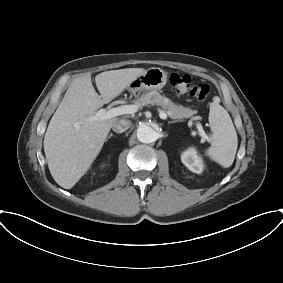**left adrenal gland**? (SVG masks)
Returning <instances> with one entry per match:
<instances>
[{"label": "left adrenal gland", "mask_w": 283, "mask_h": 283, "mask_svg": "<svg viewBox=\"0 0 283 283\" xmlns=\"http://www.w3.org/2000/svg\"><path fill=\"white\" fill-rule=\"evenodd\" d=\"M178 121H169L168 124H173V123H176Z\"/></svg>", "instance_id": "a2214340"}]
</instances>
